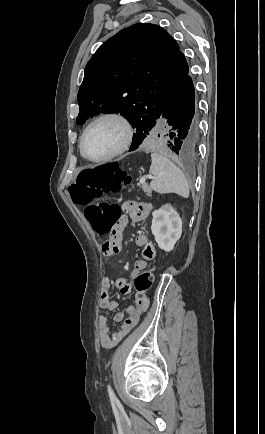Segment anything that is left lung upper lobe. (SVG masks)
Wrapping results in <instances>:
<instances>
[{
  "label": "left lung upper lobe",
  "instance_id": "5c2ea615",
  "mask_svg": "<svg viewBox=\"0 0 265 434\" xmlns=\"http://www.w3.org/2000/svg\"><path fill=\"white\" fill-rule=\"evenodd\" d=\"M188 72L185 56L163 28L144 23L125 28L87 63L77 124L120 112L137 130L151 129Z\"/></svg>",
  "mask_w": 265,
  "mask_h": 434
}]
</instances>
